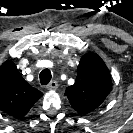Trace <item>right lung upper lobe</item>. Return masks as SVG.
I'll return each instance as SVG.
<instances>
[{
    "label": "right lung upper lobe",
    "mask_w": 133,
    "mask_h": 133,
    "mask_svg": "<svg viewBox=\"0 0 133 133\" xmlns=\"http://www.w3.org/2000/svg\"><path fill=\"white\" fill-rule=\"evenodd\" d=\"M42 92L30 86L15 64L7 60L0 66V109L15 117H24L42 97Z\"/></svg>",
    "instance_id": "1"
}]
</instances>
